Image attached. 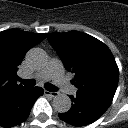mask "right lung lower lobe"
<instances>
[{
    "mask_svg": "<svg viewBox=\"0 0 128 128\" xmlns=\"http://www.w3.org/2000/svg\"><path fill=\"white\" fill-rule=\"evenodd\" d=\"M40 87L19 88L0 102V126L12 127L25 121L35 100L43 95Z\"/></svg>",
    "mask_w": 128,
    "mask_h": 128,
    "instance_id": "98d812e1",
    "label": "right lung lower lobe"
}]
</instances>
